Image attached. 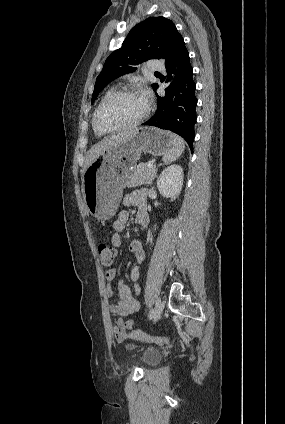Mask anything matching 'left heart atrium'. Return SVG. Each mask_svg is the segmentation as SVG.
<instances>
[{"mask_svg": "<svg viewBox=\"0 0 285 424\" xmlns=\"http://www.w3.org/2000/svg\"><path fill=\"white\" fill-rule=\"evenodd\" d=\"M142 96L144 97L146 103H148L149 102V99H150V93H149V91H147V90L144 91V93L142 94Z\"/></svg>", "mask_w": 285, "mask_h": 424, "instance_id": "39dd6f15", "label": "left heart atrium"}]
</instances>
